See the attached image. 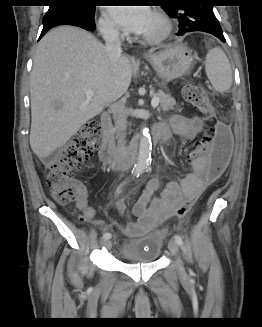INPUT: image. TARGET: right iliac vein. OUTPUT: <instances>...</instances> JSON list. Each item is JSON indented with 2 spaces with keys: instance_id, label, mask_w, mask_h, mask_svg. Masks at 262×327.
<instances>
[{
  "instance_id": "obj_1",
  "label": "right iliac vein",
  "mask_w": 262,
  "mask_h": 327,
  "mask_svg": "<svg viewBox=\"0 0 262 327\" xmlns=\"http://www.w3.org/2000/svg\"><path fill=\"white\" fill-rule=\"evenodd\" d=\"M102 244L108 250L112 248V241L110 239L103 240Z\"/></svg>"
}]
</instances>
